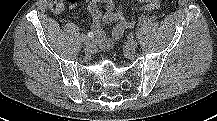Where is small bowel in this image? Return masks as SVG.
Returning <instances> with one entry per match:
<instances>
[{
	"label": "small bowel",
	"instance_id": "small-bowel-1",
	"mask_svg": "<svg viewBox=\"0 0 217 121\" xmlns=\"http://www.w3.org/2000/svg\"><path fill=\"white\" fill-rule=\"evenodd\" d=\"M139 10L151 12L160 6V0H136ZM87 7L92 16V29L99 46L106 50L119 40L127 29L135 25V21L124 15L121 7L116 8L115 0H87ZM104 8V10H102ZM115 23L111 32L107 34L104 25Z\"/></svg>",
	"mask_w": 217,
	"mask_h": 121
}]
</instances>
